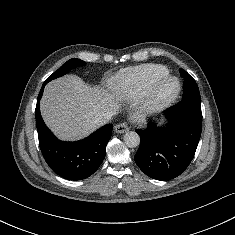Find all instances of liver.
<instances>
[{
  "mask_svg": "<svg viewBox=\"0 0 235 235\" xmlns=\"http://www.w3.org/2000/svg\"><path fill=\"white\" fill-rule=\"evenodd\" d=\"M121 95L87 85L81 78L68 75L49 82L40 102L46 125L61 140L74 141L88 136L99 125L103 113L119 110ZM140 120V116H132Z\"/></svg>",
  "mask_w": 235,
  "mask_h": 235,
  "instance_id": "obj_1",
  "label": "liver"
}]
</instances>
